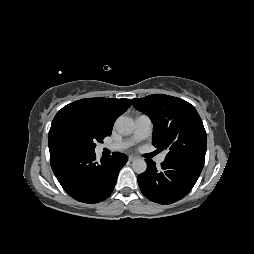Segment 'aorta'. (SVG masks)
Masks as SVG:
<instances>
[{
  "instance_id": "762f6f07",
  "label": "aorta",
  "mask_w": 254,
  "mask_h": 254,
  "mask_svg": "<svg viewBox=\"0 0 254 254\" xmlns=\"http://www.w3.org/2000/svg\"><path fill=\"white\" fill-rule=\"evenodd\" d=\"M116 129L124 135H128L134 130V121L127 116H120L115 122ZM133 170L138 173H144L147 169V163L143 158H137L132 162Z\"/></svg>"
}]
</instances>
